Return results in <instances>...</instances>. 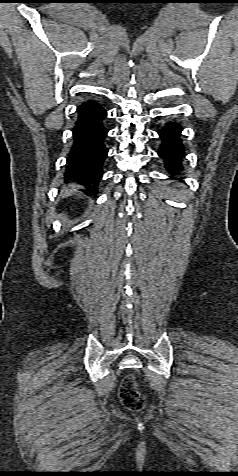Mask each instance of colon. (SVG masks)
Returning <instances> with one entry per match:
<instances>
[{"label": "colon", "instance_id": "colon-1", "mask_svg": "<svg viewBox=\"0 0 238 476\" xmlns=\"http://www.w3.org/2000/svg\"><path fill=\"white\" fill-rule=\"evenodd\" d=\"M119 397L122 404L131 410H140L144 406V396L139 392L135 378L128 374L120 385Z\"/></svg>", "mask_w": 238, "mask_h": 476}]
</instances>
